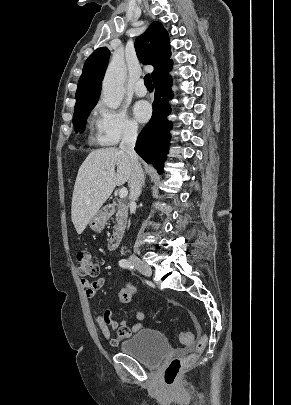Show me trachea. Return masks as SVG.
I'll use <instances>...</instances> for the list:
<instances>
[{
    "instance_id": "3493384b",
    "label": "trachea",
    "mask_w": 291,
    "mask_h": 405,
    "mask_svg": "<svg viewBox=\"0 0 291 405\" xmlns=\"http://www.w3.org/2000/svg\"><path fill=\"white\" fill-rule=\"evenodd\" d=\"M144 83H145V86H146L147 88H153L150 74L145 75V77H144Z\"/></svg>"
}]
</instances>
